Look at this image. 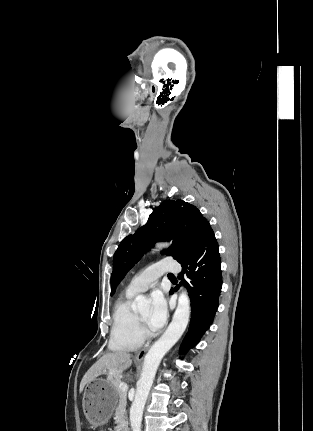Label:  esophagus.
Returning <instances> with one entry per match:
<instances>
[{
  "label": "esophagus",
  "instance_id": "obj_1",
  "mask_svg": "<svg viewBox=\"0 0 313 431\" xmlns=\"http://www.w3.org/2000/svg\"><path fill=\"white\" fill-rule=\"evenodd\" d=\"M147 349H148V347H145V348H143L142 350H140V351L136 354L135 358H136L137 360H142V359L144 358L145 354H146Z\"/></svg>",
  "mask_w": 313,
  "mask_h": 431
}]
</instances>
